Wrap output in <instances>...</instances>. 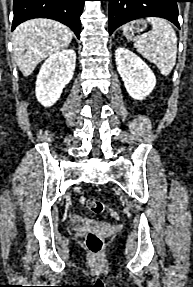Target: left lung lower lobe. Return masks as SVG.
Returning a JSON list of instances; mask_svg holds the SVG:
<instances>
[{
	"instance_id": "1",
	"label": "left lung lower lobe",
	"mask_w": 193,
	"mask_h": 287,
	"mask_svg": "<svg viewBox=\"0 0 193 287\" xmlns=\"http://www.w3.org/2000/svg\"><path fill=\"white\" fill-rule=\"evenodd\" d=\"M109 1V34L119 26L142 17H161L179 28V0H105Z\"/></svg>"
}]
</instances>
